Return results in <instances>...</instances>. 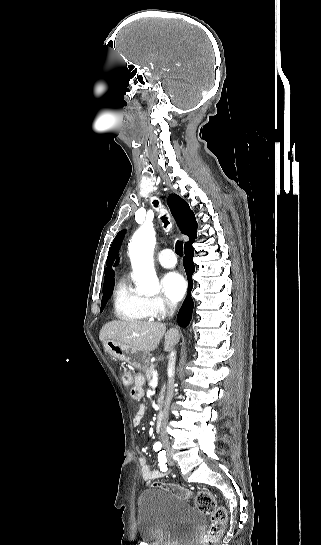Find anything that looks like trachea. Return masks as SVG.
<instances>
[{
  "label": "trachea",
  "mask_w": 321,
  "mask_h": 545,
  "mask_svg": "<svg viewBox=\"0 0 321 545\" xmlns=\"http://www.w3.org/2000/svg\"><path fill=\"white\" fill-rule=\"evenodd\" d=\"M158 203H159L158 201H154V202H153L154 206H157ZM161 218H162L163 223H164V228H167V226L169 225L168 218L166 217V215H164V216L161 217ZM183 243H184V242L177 241L176 244H175V252H176L177 255H179L180 257L183 256Z\"/></svg>",
  "instance_id": "trachea-1"
}]
</instances>
